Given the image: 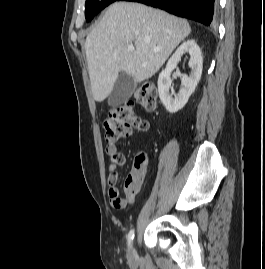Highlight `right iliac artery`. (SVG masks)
<instances>
[{
  "label": "right iliac artery",
  "mask_w": 265,
  "mask_h": 269,
  "mask_svg": "<svg viewBox=\"0 0 265 269\" xmlns=\"http://www.w3.org/2000/svg\"><path fill=\"white\" fill-rule=\"evenodd\" d=\"M127 239H128V245L131 246V243H132V241H133V239H134V229H132V230L129 232V234H128V236H127Z\"/></svg>",
  "instance_id": "obj_1"
}]
</instances>
